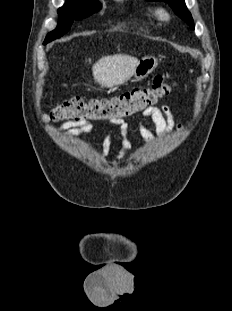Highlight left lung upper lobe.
<instances>
[{
    "mask_svg": "<svg viewBox=\"0 0 232 311\" xmlns=\"http://www.w3.org/2000/svg\"><path fill=\"white\" fill-rule=\"evenodd\" d=\"M149 1H164L168 3L174 12L184 20L192 29H194L193 19L188 11L185 0H149Z\"/></svg>",
    "mask_w": 232,
    "mask_h": 311,
    "instance_id": "left-lung-upper-lobe-1",
    "label": "left lung upper lobe"
}]
</instances>
